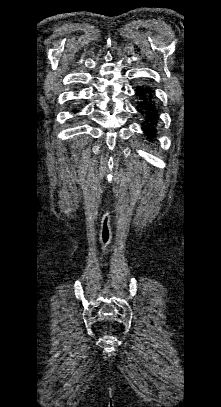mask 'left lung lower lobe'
I'll return each mask as SVG.
<instances>
[{"label":"left lung lower lobe","instance_id":"obj_1","mask_svg":"<svg viewBox=\"0 0 221 407\" xmlns=\"http://www.w3.org/2000/svg\"><path fill=\"white\" fill-rule=\"evenodd\" d=\"M136 95V109L143 119L142 129L149 141H153L158 131L157 124L159 122V112L154 91L150 86L141 84L136 88Z\"/></svg>","mask_w":221,"mask_h":407}]
</instances>
